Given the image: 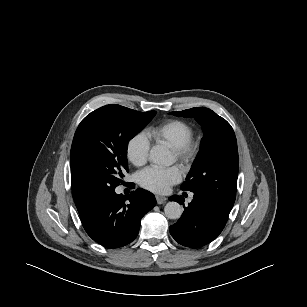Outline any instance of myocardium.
I'll list each match as a JSON object with an SVG mask.
<instances>
[{"label": "myocardium", "mask_w": 307, "mask_h": 307, "mask_svg": "<svg viewBox=\"0 0 307 307\" xmlns=\"http://www.w3.org/2000/svg\"><path fill=\"white\" fill-rule=\"evenodd\" d=\"M199 141L190 139L182 145L172 149L175 160L184 168L189 169L200 154Z\"/></svg>", "instance_id": "myocardium-1"}]
</instances>
